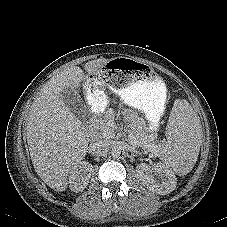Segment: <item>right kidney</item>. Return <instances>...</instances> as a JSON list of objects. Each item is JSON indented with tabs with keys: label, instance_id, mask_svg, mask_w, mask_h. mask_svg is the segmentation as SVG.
I'll list each match as a JSON object with an SVG mask.
<instances>
[{
	"label": "right kidney",
	"instance_id": "1",
	"mask_svg": "<svg viewBox=\"0 0 227 227\" xmlns=\"http://www.w3.org/2000/svg\"><path fill=\"white\" fill-rule=\"evenodd\" d=\"M91 171L92 165L86 161H82L74 167L68 180L70 189L74 192L83 191L89 183Z\"/></svg>",
	"mask_w": 227,
	"mask_h": 227
}]
</instances>
